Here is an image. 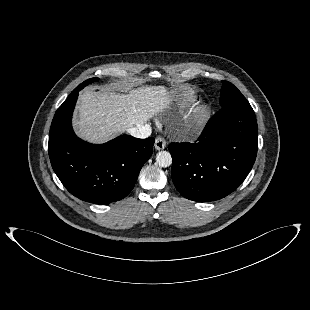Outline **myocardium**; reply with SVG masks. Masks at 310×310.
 I'll return each instance as SVG.
<instances>
[{
    "instance_id": "1",
    "label": "myocardium",
    "mask_w": 310,
    "mask_h": 310,
    "mask_svg": "<svg viewBox=\"0 0 310 310\" xmlns=\"http://www.w3.org/2000/svg\"><path fill=\"white\" fill-rule=\"evenodd\" d=\"M207 116V108L204 106H196L189 110L186 115V123L191 131L197 130L205 121Z\"/></svg>"
}]
</instances>
